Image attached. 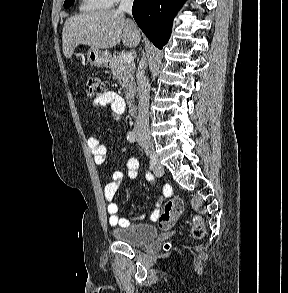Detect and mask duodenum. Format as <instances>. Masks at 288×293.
I'll use <instances>...</instances> for the list:
<instances>
[{"label": "duodenum", "instance_id": "obj_1", "mask_svg": "<svg viewBox=\"0 0 288 293\" xmlns=\"http://www.w3.org/2000/svg\"><path fill=\"white\" fill-rule=\"evenodd\" d=\"M129 111L132 113V114H136L137 111H138V103L136 100H130L129 101Z\"/></svg>", "mask_w": 288, "mask_h": 293}]
</instances>
